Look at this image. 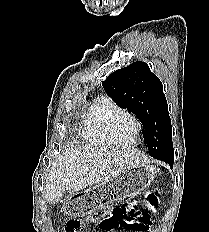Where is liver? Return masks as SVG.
<instances>
[{"mask_svg": "<svg viewBox=\"0 0 209 232\" xmlns=\"http://www.w3.org/2000/svg\"><path fill=\"white\" fill-rule=\"evenodd\" d=\"M148 159L135 149H111L90 145L69 148L53 162L45 184V199L53 202L60 196L74 193L101 182H108L131 167Z\"/></svg>", "mask_w": 209, "mask_h": 232, "instance_id": "6515ba94", "label": "liver"}]
</instances>
